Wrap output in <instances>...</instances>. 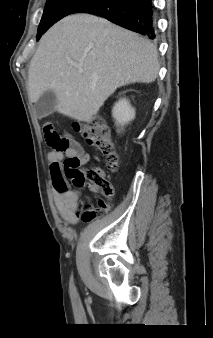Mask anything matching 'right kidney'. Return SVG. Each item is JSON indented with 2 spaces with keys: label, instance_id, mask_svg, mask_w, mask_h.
I'll return each instance as SVG.
<instances>
[{
  "label": "right kidney",
  "instance_id": "right-kidney-1",
  "mask_svg": "<svg viewBox=\"0 0 213 338\" xmlns=\"http://www.w3.org/2000/svg\"><path fill=\"white\" fill-rule=\"evenodd\" d=\"M112 116L118 124L123 126L135 118V109L131 107L126 98H123L113 107Z\"/></svg>",
  "mask_w": 213,
  "mask_h": 338
}]
</instances>
